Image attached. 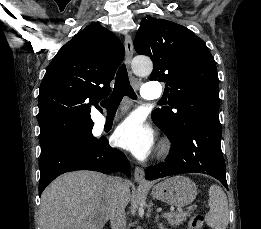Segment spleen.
<instances>
[{
  "label": "spleen",
  "mask_w": 261,
  "mask_h": 229,
  "mask_svg": "<svg viewBox=\"0 0 261 229\" xmlns=\"http://www.w3.org/2000/svg\"><path fill=\"white\" fill-rule=\"evenodd\" d=\"M209 213L205 221L211 229H227L229 223V211L227 197L218 185H211L209 189Z\"/></svg>",
  "instance_id": "obj_1"
}]
</instances>
